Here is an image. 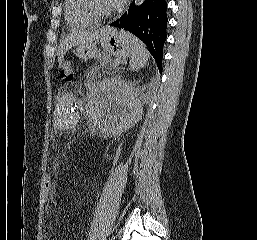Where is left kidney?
<instances>
[{
	"label": "left kidney",
	"instance_id": "5707ae66",
	"mask_svg": "<svg viewBox=\"0 0 257 240\" xmlns=\"http://www.w3.org/2000/svg\"><path fill=\"white\" fill-rule=\"evenodd\" d=\"M94 119L98 127L119 134L140 120L142 103L137 89L118 78H106L94 91Z\"/></svg>",
	"mask_w": 257,
	"mask_h": 240
}]
</instances>
